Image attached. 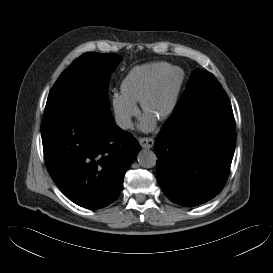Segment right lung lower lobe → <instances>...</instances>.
<instances>
[{
    "label": "right lung lower lobe",
    "instance_id": "right-lung-lower-lobe-1",
    "mask_svg": "<svg viewBox=\"0 0 273 273\" xmlns=\"http://www.w3.org/2000/svg\"><path fill=\"white\" fill-rule=\"evenodd\" d=\"M41 135L46 166L57 187L92 210L116 200L139 152L138 141L115 124L110 109L95 103L54 108L43 117Z\"/></svg>",
    "mask_w": 273,
    "mask_h": 273
}]
</instances>
